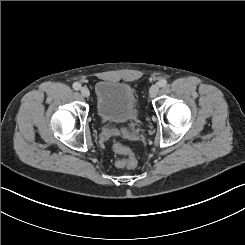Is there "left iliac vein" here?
I'll list each match as a JSON object with an SVG mask.
<instances>
[{
  "label": "left iliac vein",
  "instance_id": "1",
  "mask_svg": "<svg viewBox=\"0 0 245 245\" xmlns=\"http://www.w3.org/2000/svg\"><path fill=\"white\" fill-rule=\"evenodd\" d=\"M159 92V86L154 84L149 91V95L151 98H155L157 93Z\"/></svg>",
  "mask_w": 245,
  "mask_h": 245
}]
</instances>
